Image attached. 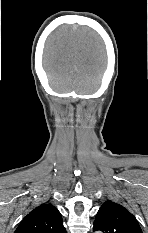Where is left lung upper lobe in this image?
<instances>
[{
  "mask_svg": "<svg viewBox=\"0 0 148 233\" xmlns=\"http://www.w3.org/2000/svg\"><path fill=\"white\" fill-rule=\"evenodd\" d=\"M93 230L103 233H142L136 218L125 207L110 200L97 212Z\"/></svg>",
  "mask_w": 148,
  "mask_h": 233,
  "instance_id": "5c2ea615",
  "label": "left lung upper lobe"
}]
</instances>
